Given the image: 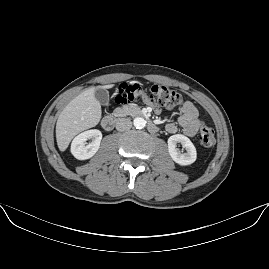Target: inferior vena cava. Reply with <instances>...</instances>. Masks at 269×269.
I'll use <instances>...</instances> for the list:
<instances>
[{"label":"inferior vena cava","mask_w":269,"mask_h":269,"mask_svg":"<svg viewBox=\"0 0 269 269\" xmlns=\"http://www.w3.org/2000/svg\"><path fill=\"white\" fill-rule=\"evenodd\" d=\"M132 127V122L127 118H120L116 122V129L120 132L129 130Z\"/></svg>","instance_id":"inferior-vena-cava-1"}]
</instances>
